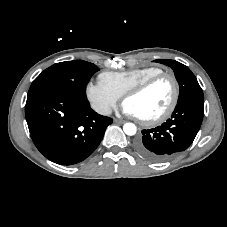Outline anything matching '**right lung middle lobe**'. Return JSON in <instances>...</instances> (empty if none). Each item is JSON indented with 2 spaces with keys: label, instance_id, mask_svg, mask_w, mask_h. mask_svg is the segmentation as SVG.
Here are the masks:
<instances>
[{
  "label": "right lung middle lobe",
  "instance_id": "obj_1",
  "mask_svg": "<svg viewBox=\"0 0 227 227\" xmlns=\"http://www.w3.org/2000/svg\"><path fill=\"white\" fill-rule=\"evenodd\" d=\"M99 70L83 60L60 62L47 68L32 82L28 97L44 91H61L83 97L90 77Z\"/></svg>",
  "mask_w": 227,
  "mask_h": 227
}]
</instances>
